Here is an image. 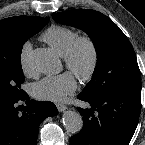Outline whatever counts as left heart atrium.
<instances>
[{
  "mask_svg": "<svg viewBox=\"0 0 145 145\" xmlns=\"http://www.w3.org/2000/svg\"><path fill=\"white\" fill-rule=\"evenodd\" d=\"M77 88L75 76L71 72H64L57 76H48L32 87L33 95L40 100L62 102L66 96Z\"/></svg>",
  "mask_w": 145,
  "mask_h": 145,
  "instance_id": "left-heart-atrium-1",
  "label": "left heart atrium"
}]
</instances>
